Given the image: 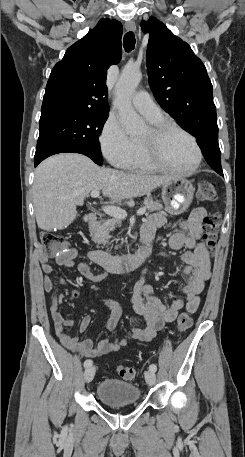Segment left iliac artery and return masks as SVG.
<instances>
[{
  "label": "left iliac artery",
  "instance_id": "1",
  "mask_svg": "<svg viewBox=\"0 0 245 457\" xmlns=\"http://www.w3.org/2000/svg\"><path fill=\"white\" fill-rule=\"evenodd\" d=\"M149 370H150V371H153V372H156V370H157L156 364H154V363L151 364V365L149 366Z\"/></svg>",
  "mask_w": 245,
  "mask_h": 457
}]
</instances>
